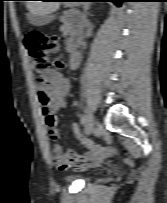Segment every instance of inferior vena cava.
<instances>
[{"label":"inferior vena cava","mask_w":167,"mask_h":203,"mask_svg":"<svg viewBox=\"0 0 167 203\" xmlns=\"http://www.w3.org/2000/svg\"><path fill=\"white\" fill-rule=\"evenodd\" d=\"M82 21H83L84 24L87 22V20H86V16H85V15H83V17H82Z\"/></svg>","instance_id":"inferior-vena-cava-1"}]
</instances>
